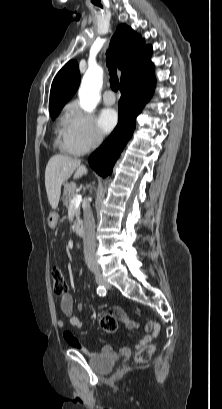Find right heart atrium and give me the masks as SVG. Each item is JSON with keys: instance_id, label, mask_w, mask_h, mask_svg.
I'll return each mask as SVG.
<instances>
[{"instance_id": "d8ad5b80", "label": "right heart atrium", "mask_w": 222, "mask_h": 409, "mask_svg": "<svg viewBox=\"0 0 222 409\" xmlns=\"http://www.w3.org/2000/svg\"><path fill=\"white\" fill-rule=\"evenodd\" d=\"M64 134L68 145L78 154L97 149L103 135L92 114L86 113L76 104H70L64 118Z\"/></svg>"}]
</instances>
